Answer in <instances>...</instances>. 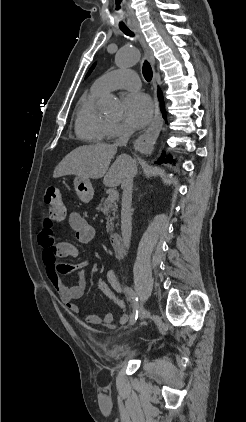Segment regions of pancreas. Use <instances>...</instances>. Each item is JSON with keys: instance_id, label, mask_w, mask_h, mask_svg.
I'll return each instance as SVG.
<instances>
[{"instance_id": "obj_1", "label": "pancreas", "mask_w": 246, "mask_h": 422, "mask_svg": "<svg viewBox=\"0 0 246 422\" xmlns=\"http://www.w3.org/2000/svg\"><path fill=\"white\" fill-rule=\"evenodd\" d=\"M117 209L118 206L115 201H110L108 198H103L100 205L97 207V210L102 211L106 215L107 233L113 231V221L117 219Z\"/></svg>"}]
</instances>
